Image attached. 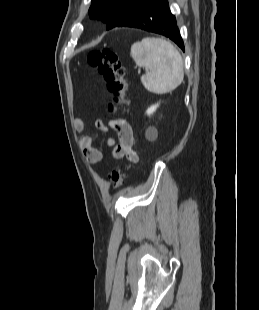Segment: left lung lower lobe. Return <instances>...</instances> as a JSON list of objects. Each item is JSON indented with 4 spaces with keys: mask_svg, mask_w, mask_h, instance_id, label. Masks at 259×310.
Wrapping results in <instances>:
<instances>
[{
    "mask_svg": "<svg viewBox=\"0 0 259 310\" xmlns=\"http://www.w3.org/2000/svg\"><path fill=\"white\" fill-rule=\"evenodd\" d=\"M134 27L166 36L183 51L184 44L167 0H149L130 10L115 27Z\"/></svg>",
    "mask_w": 259,
    "mask_h": 310,
    "instance_id": "left-lung-lower-lobe-1",
    "label": "left lung lower lobe"
}]
</instances>
